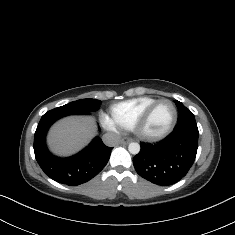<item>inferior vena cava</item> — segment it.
Returning <instances> with one entry per match:
<instances>
[{"label": "inferior vena cava", "mask_w": 235, "mask_h": 235, "mask_svg": "<svg viewBox=\"0 0 235 235\" xmlns=\"http://www.w3.org/2000/svg\"><path fill=\"white\" fill-rule=\"evenodd\" d=\"M105 145L109 147H115L119 144L121 137L115 133H106L102 137Z\"/></svg>", "instance_id": "inferior-vena-cava-1"}]
</instances>
